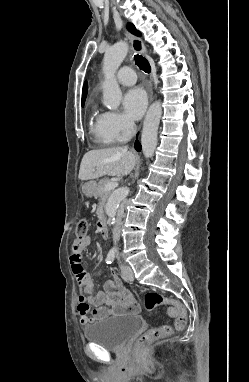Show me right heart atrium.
Instances as JSON below:
<instances>
[{"mask_svg": "<svg viewBox=\"0 0 249 382\" xmlns=\"http://www.w3.org/2000/svg\"><path fill=\"white\" fill-rule=\"evenodd\" d=\"M104 125L107 133L115 141H124L134 132L135 125L123 114L118 112L104 113Z\"/></svg>", "mask_w": 249, "mask_h": 382, "instance_id": "obj_1", "label": "right heart atrium"}]
</instances>
